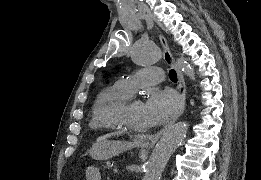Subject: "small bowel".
<instances>
[{"label":"small bowel","mask_w":261,"mask_h":180,"mask_svg":"<svg viewBox=\"0 0 261 180\" xmlns=\"http://www.w3.org/2000/svg\"><path fill=\"white\" fill-rule=\"evenodd\" d=\"M87 180H100V172L95 166H89L85 171Z\"/></svg>","instance_id":"obj_1"}]
</instances>
